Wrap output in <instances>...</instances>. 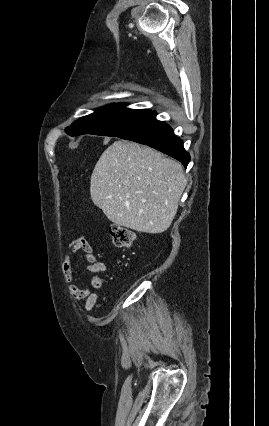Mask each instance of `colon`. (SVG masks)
Segmentation results:
<instances>
[{
    "label": "colon",
    "mask_w": 269,
    "mask_h": 426,
    "mask_svg": "<svg viewBox=\"0 0 269 426\" xmlns=\"http://www.w3.org/2000/svg\"><path fill=\"white\" fill-rule=\"evenodd\" d=\"M110 238L114 246L121 249H130L136 243V234L129 228L121 225H113L110 228ZM101 279L96 276L93 279L95 285H99Z\"/></svg>",
    "instance_id": "obj_1"
}]
</instances>
